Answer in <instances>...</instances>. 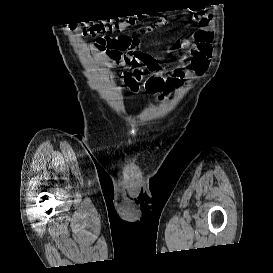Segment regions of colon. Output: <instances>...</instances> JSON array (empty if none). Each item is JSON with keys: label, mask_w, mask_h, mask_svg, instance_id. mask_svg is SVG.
Here are the masks:
<instances>
[{"label": "colon", "mask_w": 273, "mask_h": 273, "mask_svg": "<svg viewBox=\"0 0 273 273\" xmlns=\"http://www.w3.org/2000/svg\"><path fill=\"white\" fill-rule=\"evenodd\" d=\"M135 25L134 17H126L115 20L99 21L86 24L84 26V31L91 35H107L120 33ZM139 44V39L136 37L130 38V45L137 46Z\"/></svg>", "instance_id": "5ec220e1"}]
</instances>
